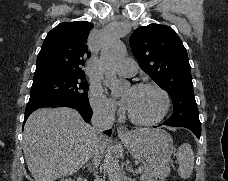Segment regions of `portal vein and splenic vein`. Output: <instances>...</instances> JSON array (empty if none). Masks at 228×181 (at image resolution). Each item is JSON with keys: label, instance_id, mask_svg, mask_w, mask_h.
Listing matches in <instances>:
<instances>
[{"label": "portal vein and splenic vein", "instance_id": "portal-vein-and-splenic-vein-1", "mask_svg": "<svg viewBox=\"0 0 228 181\" xmlns=\"http://www.w3.org/2000/svg\"><path fill=\"white\" fill-rule=\"evenodd\" d=\"M135 170H136L135 172H136L137 174H138L139 172L141 173V171H142V169H141L140 167H139V168L137 167Z\"/></svg>", "mask_w": 228, "mask_h": 181}]
</instances>
